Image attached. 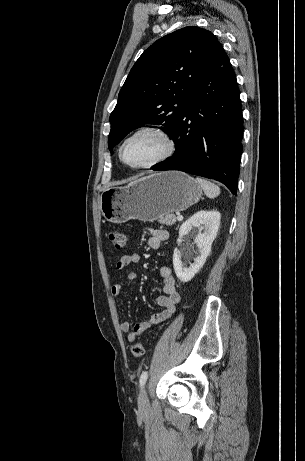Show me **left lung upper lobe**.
Returning <instances> with one entry per match:
<instances>
[{
    "label": "left lung upper lobe",
    "instance_id": "1",
    "mask_svg": "<svg viewBox=\"0 0 305 461\" xmlns=\"http://www.w3.org/2000/svg\"><path fill=\"white\" fill-rule=\"evenodd\" d=\"M223 50L208 30L189 26L146 49L132 67L110 115L109 150L143 124H163L171 136L189 95Z\"/></svg>",
    "mask_w": 305,
    "mask_h": 461
}]
</instances>
